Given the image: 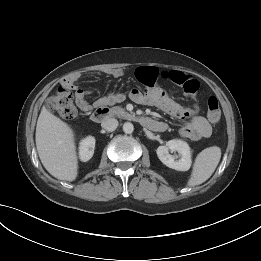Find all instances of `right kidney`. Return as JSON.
<instances>
[{
    "label": "right kidney",
    "instance_id": "ca27d5eb",
    "mask_svg": "<svg viewBox=\"0 0 261 261\" xmlns=\"http://www.w3.org/2000/svg\"><path fill=\"white\" fill-rule=\"evenodd\" d=\"M95 147V138L92 136H88L85 139L81 140L79 146V157L80 160L86 162L90 160L94 153Z\"/></svg>",
    "mask_w": 261,
    "mask_h": 261
}]
</instances>
